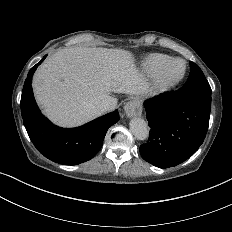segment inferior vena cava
Listing matches in <instances>:
<instances>
[{
  "label": "inferior vena cava",
  "instance_id": "inferior-vena-cava-1",
  "mask_svg": "<svg viewBox=\"0 0 232 232\" xmlns=\"http://www.w3.org/2000/svg\"><path fill=\"white\" fill-rule=\"evenodd\" d=\"M114 105V101L112 98L104 99L98 106L97 110L101 111L102 113L106 112L107 110L111 109Z\"/></svg>",
  "mask_w": 232,
  "mask_h": 232
}]
</instances>
